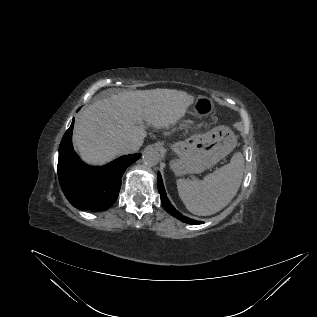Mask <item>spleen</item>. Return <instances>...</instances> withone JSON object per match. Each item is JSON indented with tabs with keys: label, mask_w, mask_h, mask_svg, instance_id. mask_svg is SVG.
I'll list each match as a JSON object with an SVG mask.
<instances>
[{
	"label": "spleen",
	"mask_w": 317,
	"mask_h": 317,
	"mask_svg": "<svg viewBox=\"0 0 317 317\" xmlns=\"http://www.w3.org/2000/svg\"><path fill=\"white\" fill-rule=\"evenodd\" d=\"M240 152L230 162L203 180L178 179V194L186 208L195 215L208 216L222 210L237 194L244 172Z\"/></svg>",
	"instance_id": "obj_1"
}]
</instances>
